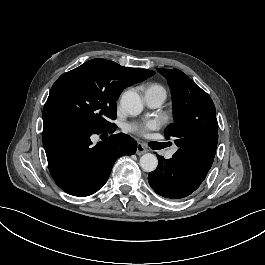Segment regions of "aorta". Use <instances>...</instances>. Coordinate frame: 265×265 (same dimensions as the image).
Instances as JSON below:
<instances>
[{
    "mask_svg": "<svg viewBox=\"0 0 265 265\" xmlns=\"http://www.w3.org/2000/svg\"><path fill=\"white\" fill-rule=\"evenodd\" d=\"M120 105L128 114L133 116L140 114L143 109L139 94L132 90L124 92ZM140 166L145 172H153L158 166L157 157L153 154H144L140 158Z\"/></svg>",
    "mask_w": 265,
    "mask_h": 265,
    "instance_id": "1",
    "label": "aorta"
}]
</instances>
